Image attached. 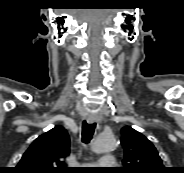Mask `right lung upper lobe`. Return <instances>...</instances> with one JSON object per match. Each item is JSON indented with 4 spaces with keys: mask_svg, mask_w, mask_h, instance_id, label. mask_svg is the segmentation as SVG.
Instances as JSON below:
<instances>
[{
    "mask_svg": "<svg viewBox=\"0 0 184 173\" xmlns=\"http://www.w3.org/2000/svg\"><path fill=\"white\" fill-rule=\"evenodd\" d=\"M70 139L62 126L39 136L24 153L16 173H68L63 161L69 155Z\"/></svg>",
    "mask_w": 184,
    "mask_h": 173,
    "instance_id": "1",
    "label": "right lung upper lobe"
}]
</instances>
